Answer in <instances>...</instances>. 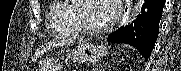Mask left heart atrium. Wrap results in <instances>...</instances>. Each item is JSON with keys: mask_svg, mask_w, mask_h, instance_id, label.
Returning a JSON list of instances; mask_svg holds the SVG:
<instances>
[{"mask_svg": "<svg viewBox=\"0 0 181 71\" xmlns=\"http://www.w3.org/2000/svg\"><path fill=\"white\" fill-rule=\"evenodd\" d=\"M117 3L118 1L116 0L107 1V7H106V12H105V18L107 22L112 20L115 17L118 10Z\"/></svg>", "mask_w": 181, "mask_h": 71, "instance_id": "obj_1", "label": "left heart atrium"}]
</instances>
